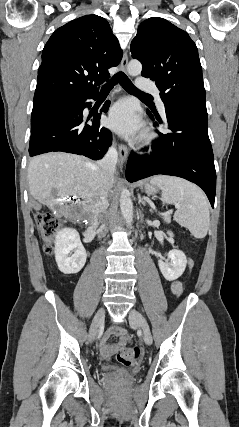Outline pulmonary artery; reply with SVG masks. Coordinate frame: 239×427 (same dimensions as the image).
Listing matches in <instances>:
<instances>
[{
	"instance_id": "1",
	"label": "pulmonary artery",
	"mask_w": 239,
	"mask_h": 427,
	"mask_svg": "<svg viewBox=\"0 0 239 427\" xmlns=\"http://www.w3.org/2000/svg\"><path fill=\"white\" fill-rule=\"evenodd\" d=\"M137 87L142 91H146V92H150V93L155 94L157 96V102H158L159 109L162 112H164V110H165L164 103L160 99L159 91L153 82L147 81L143 78H139L137 81Z\"/></svg>"
}]
</instances>
